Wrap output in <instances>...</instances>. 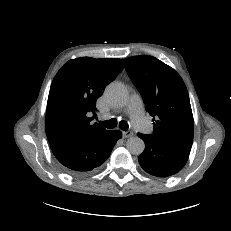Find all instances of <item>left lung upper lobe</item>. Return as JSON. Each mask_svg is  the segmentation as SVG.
Returning a JSON list of instances; mask_svg holds the SVG:
<instances>
[{
  "label": "left lung upper lobe",
  "mask_w": 231,
  "mask_h": 231,
  "mask_svg": "<svg viewBox=\"0 0 231 231\" xmlns=\"http://www.w3.org/2000/svg\"><path fill=\"white\" fill-rule=\"evenodd\" d=\"M124 66L153 116L152 136L192 146L194 121L187 88L181 76L152 56L124 59Z\"/></svg>",
  "instance_id": "left-lung-upper-lobe-1"
}]
</instances>
